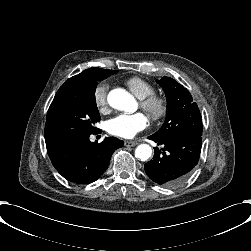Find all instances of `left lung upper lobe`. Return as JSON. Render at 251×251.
<instances>
[{
	"label": "left lung upper lobe",
	"mask_w": 251,
	"mask_h": 251,
	"mask_svg": "<svg viewBox=\"0 0 251 251\" xmlns=\"http://www.w3.org/2000/svg\"><path fill=\"white\" fill-rule=\"evenodd\" d=\"M167 98V116L153 136L168 139L184 134L202 135V117L189 91L170 77L157 80Z\"/></svg>",
	"instance_id": "left-lung-upper-lobe-1"
}]
</instances>
